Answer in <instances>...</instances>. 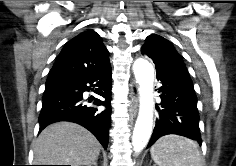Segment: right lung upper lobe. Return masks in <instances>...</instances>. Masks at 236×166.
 <instances>
[{"mask_svg": "<svg viewBox=\"0 0 236 166\" xmlns=\"http://www.w3.org/2000/svg\"><path fill=\"white\" fill-rule=\"evenodd\" d=\"M110 65L108 50L101 37L87 30L65 44L48 78L60 75H87Z\"/></svg>", "mask_w": 236, "mask_h": 166, "instance_id": "obj_1", "label": "right lung upper lobe"}]
</instances>
